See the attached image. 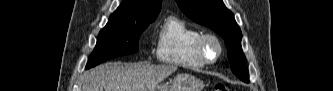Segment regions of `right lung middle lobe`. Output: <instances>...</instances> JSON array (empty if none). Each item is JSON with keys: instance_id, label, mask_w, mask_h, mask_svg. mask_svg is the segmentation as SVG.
I'll list each match as a JSON object with an SVG mask.
<instances>
[{"instance_id": "1", "label": "right lung middle lobe", "mask_w": 333, "mask_h": 91, "mask_svg": "<svg viewBox=\"0 0 333 91\" xmlns=\"http://www.w3.org/2000/svg\"><path fill=\"white\" fill-rule=\"evenodd\" d=\"M155 19L146 18L129 22H108L98 35L96 47L88 60L86 69L111 58L137 52L141 33Z\"/></svg>"}]
</instances>
